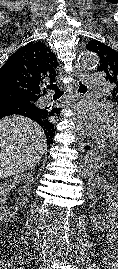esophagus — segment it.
Instances as JSON below:
<instances>
[{"mask_svg": "<svg viewBox=\"0 0 118 269\" xmlns=\"http://www.w3.org/2000/svg\"><path fill=\"white\" fill-rule=\"evenodd\" d=\"M88 74H89L88 71L80 69V68L78 69L77 76L79 80H84ZM93 148L94 147L91 142L81 140V142L79 143V149L82 152L90 153L93 151Z\"/></svg>", "mask_w": 118, "mask_h": 269, "instance_id": "esophagus-1", "label": "esophagus"}]
</instances>
